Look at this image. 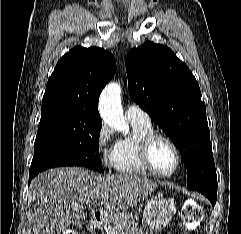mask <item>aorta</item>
Returning a JSON list of instances; mask_svg holds the SVG:
<instances>
[{
	"mask_svg": "<svg viewBox=\"0 0 241 234\" xmlns=\"http://www.w3.org/2000/svg\"><path fill=\"white\" fill-rule=\"evenodd\" d=\"M99 111L103 121L113 129L126 135L129 126L125 121L121 105V87L119 83H109L100 95Z\"/></svg>",
	"mask_w": 241,
	"mask_h": 234,
	"instance_id": "obj_1",
	"label": "aorta"
}]
</instances>
